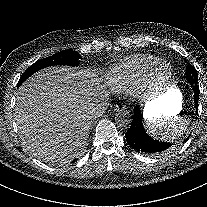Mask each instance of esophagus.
I'll return each instance as SVG.
<instances>
[{
	"label": "esophagus",
	"mask_w": 207,
	"mask_h": 207,
	"mask_svg": "<svg viewBox=\"0 0 207 207\" xmlns=\"http://www.w3.org/2000/svg\"><path fill=\"white\" fill-rule=\"evenodd\" d=\"M118 109H126L125 106H120V105H116L115 106V111H117Z\"/></svg>",
	"instance_id": "obj_1"
}]
</instances>
